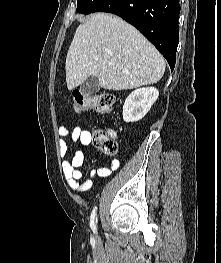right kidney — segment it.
Returning a JSON list of instances; mask_svg holds the SVG:
<instances>
[{
	"label": "right kidney",
	"instance_id": "1",
	"mask_svg": "<svg viewBox=\"0 0 221 263\" xmlns=\"http://www.w3.org/2000/svg\"><path fill=\"white\" fill-rule=\"evenodd\" d=\"M159 91L154 87H143L134 90L123 105V120L126 123L141 120L157 100Z\"/></svg>",
	"mask_w": 221,
	"mask_h": 263
}]
</instances>
